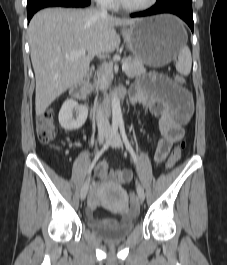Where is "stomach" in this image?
<instances>
[{"label": "stomach", "instance_id": "stomach-1", "mask_svg": "<svg viewBox=\"0 0 227 265\" xmlns=\"http://www.w3.org/2000/svg\"><path fill=\"white\" fill-rule=\"evenodd\" d=\"M122 35L134 57L153 67L170 63L187 41L182 22L170 14L140 19Z\"/></svg>", "mask_w": 227, "mask_h": 265}]
</instances>
